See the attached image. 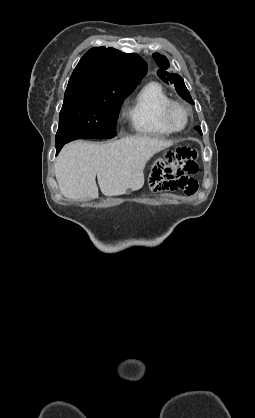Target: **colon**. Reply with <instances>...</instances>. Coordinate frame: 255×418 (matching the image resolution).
Returning a JSON list of instances; mask_svg holds the SVG:
<instances>
[{
  "label": "colon",
  "instance_id": "1",
  "mask_svg": "<svg viewBox=\"0 0 255 418\" xmlns=\"http://www.w3.org/2000/svg\"><path fill=\"white\" fill-rule=\"evenodd\" d=\"M198 152L190 147H179L167 152L156 163L149 179V189L153 192L164 190H183L187 195L197 191Z\"/></svg>",
  "mask_w": 255,
  "mask_h": 418
}]
</instances>
